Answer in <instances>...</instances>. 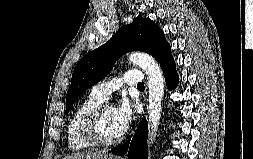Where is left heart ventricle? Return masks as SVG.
Wrapping results in <instances>:
<instances>
[{
	"label": "left heart ventricle",
	"mask_w": 253,
	"mask_h": 159,
	"mask_svg": "<svg viewBox=\"0 0 253 159\" xmlns=\"http://www.w3.org/2000/svg\"><path fill=\"white\" fill-rule=\"evenodd\" d=\"M100 135L105 140H112L123 132L117 121L114 108H107L101 115L99 122Z\"/></svg>",
	"instance_id": "1"
}]
</instances>
